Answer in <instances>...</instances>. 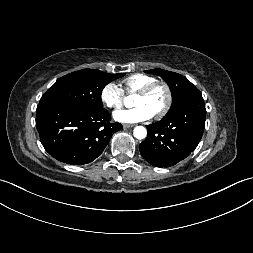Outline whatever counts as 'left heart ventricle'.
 I'll list each match as a JSON object with an SVG mask.
<instances>
[{
	"label": "left heart ventricle",
	"mask_w": 253,
	"mask_h": 253,
	"mask_svg": "<svg viewBox=\"0 0 253 253\" xmlns=\"http://www.w3.org/2000/svg\"><path fill=\"white\" fill-rule=\"evenodd\" d=\"M166 102V93L163 88H156L150 95H135L134 105H145L153 115L157 113Z\"/></svg>",
	"instance_id": "1"
}]
</instances>
